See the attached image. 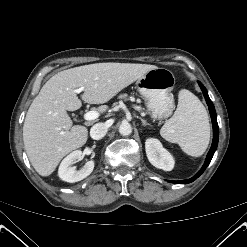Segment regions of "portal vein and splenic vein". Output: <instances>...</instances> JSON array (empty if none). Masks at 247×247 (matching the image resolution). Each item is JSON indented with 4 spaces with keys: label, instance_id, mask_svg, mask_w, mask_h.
Returning <instances> with one entry per match:
<instances>
[{
    "label": "portal vein and splenic vein",
    "instance_id": "1",
    "mask_svg": "<svg viewBox=\"0 0 247 247\" xmlns=\"http://www.w3.org/2000/svg\"><path fill=\"white\" fill-rule=\"evenodd\" d=\"M83 90V88L75 89V93H80ZM137 108V107H135ZM99 117V113L97 111H88L84 114V119L87 121L95 120Z\"/></svg>",
    "mask_w": 247,
    "mask_h": 247
}]
</instances>
